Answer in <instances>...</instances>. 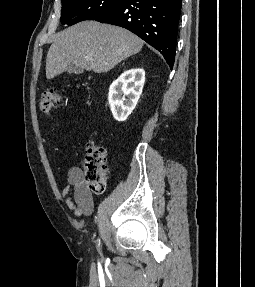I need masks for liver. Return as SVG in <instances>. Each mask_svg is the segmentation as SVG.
I'll return each instance as SVG.
<instances>
[{
	"label": "liver",
	"mask_w": 255,
	"mask_h": 287,
	"mask_svg": "<svg viewBox=\"0 0 255 287\" xmlns=\"http://www.w3.org/2000/svg\"><path fill=\"white\" fill-rule=\"evenodd\" d=\"M143 44L125 28L80 22L54 36L47 54L46 78L52 80L72 64L96 74L109 72L122 60L138 54Z\"/></svg>",
	"instance_id": "obj_1"
}]
</instances>
